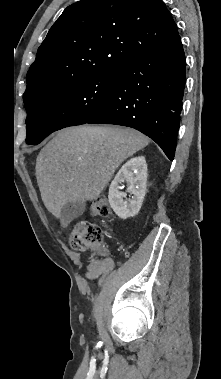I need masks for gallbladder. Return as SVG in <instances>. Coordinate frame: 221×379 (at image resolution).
Masks as SVG:
<instances>
[{
  "instance_id": "bac80fb5",
  "label": "gallbladder",
  "mask_w": 221,
  "mask_h": 379,
  "mask_svg": "<svg viewBox=\"0 0 221 379\" xmlns=\"http://www.w3.org/2000/svg\"><path fill=\"white\" fill-rule=\"evenodd\" d=\"M86 208V200L68 202L61 209L60 222L67 226L72 220L83 214Z\"/></svg>"
}]
</instances>
